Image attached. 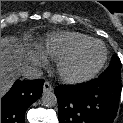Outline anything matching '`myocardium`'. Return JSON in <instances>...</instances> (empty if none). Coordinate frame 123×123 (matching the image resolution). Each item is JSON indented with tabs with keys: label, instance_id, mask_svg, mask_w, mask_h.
<instances>
[{
	"label": "myocardium",
	"instance_id": "obj_1",
	"mask_svg": "<svg viewBox=\"0 0 123 123\" xmlns=\"http://www.w3.org/2000/svg\"><path fill=\"white\" fill-rule=\"evenodd\" d=\"M99 44L103 49V55L101 60L88 72L84 74H73L70 73L67 70L68 64L88 45L90 44ZM107 60V50L105 45L96 39H88L78 45H76L74 48H72L70 51H68L66 54L61 56L59 59H57L56 62V73L58 77L65 83L69 84H78L83 83L86 81L91 80L94 78L100 70L103 68L105 62Z\"/></svg>",
	"mask_w": 123,
	"mask_h": 123
}]
</instances>
